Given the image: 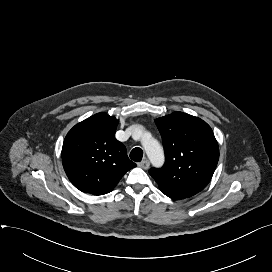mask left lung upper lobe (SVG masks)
I'll list each match as a JSON object with an SVG mask.
<instances>
[{"label": "left lung upper lobe", "mask_w": 272, "mask_h": 272, "mask_svg": "<svg viewBox=\"0 0 272 272\" xmlns=\"http://www.w3.org/2000/svg\"><path fill=\"white\" fill-rule=\"evenodd\" d=\"M161 133L166 161L149 174L168 197H191L210 182L219 160V148L212 129L202 119L174 112L155 120Z\"/></svg>", "instance_id": "5c2ea615"}]
</instances>
